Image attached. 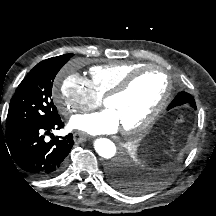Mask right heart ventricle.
Returning <instances> with one entry per match:
<instances>
[{
  "label": "right heart ventricle",
  "instance_id": "obj_1",
  "mask_svg": "<svg viewBox=\"0 0 216 216\" xmlns=\"http://www.w3.org/2000/svg\"><path fill=\"white\" fill-rule=\"evenodd\" d=\"M141 66V63L132 61L95 65L89 70V83L93 91L102 97L113 89L127 74Z\"/></svg>",
  "mask_w": 216,
  "mask_h": 216
}]
</instances>
